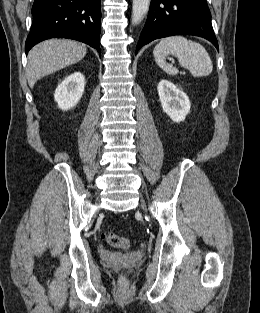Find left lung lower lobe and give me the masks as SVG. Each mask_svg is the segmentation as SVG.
Listing matches in <instances>:
<instances>
[{"label": "left lung lower lobe", "mask_w": 260, "mask_h": 313, "mask_svg": "<svg viewBox=\"0 0 260 313\" xmlns=\"http://www.w3.org/2000/svg\"><path fill=\"white\" fill-rule=\"evenodd\" d=\"M179 34L203 37L218 49L206 0H152L136 53L155 39Z\"/></svg>", "instance_id": "1"}]
</instances>
